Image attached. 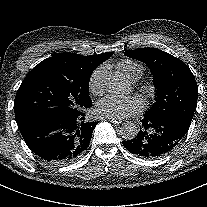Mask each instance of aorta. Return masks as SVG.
I'll return each instance as SVG.
<instances>
[{
  "mask_svg": "<svg viewBox=\"0 0 207 207\" xmlns=\"http://www.w3.org/2000/svg\"><path fill=\"white\" fill-rule=\"evenodd\" d=\"M105 89L113 94H123L128 90V81L119 72L108 74L103 79ZM139 128L135 123L126 122L120 128V135L125 140H131L137 136Z\"/></svg>",
  "mask_w": 207,
  "mask_h": 207,
  "instance_id": "obj_1",
  "label": "aorta"
}]
</instances>
